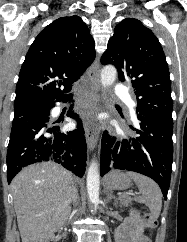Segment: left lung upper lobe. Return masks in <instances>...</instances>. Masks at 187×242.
Segmentation results:
<instances>
[{
    "label": "left lung upper lobe",
    "mask_w": 187,
    "mask_h": 242,
    "mask_svg": "<svg viewBox=\"0 0 187 242\" xmlns=\"http://www.w3.org/2000/svg\"><path fill=\"white\" fill-rule=\"evenodd\" d=\"M103 65L113 64L120 81L131 80L137 114L173 121L168 64L160 42L139 20L126 18L114 29Z\"/></svg>",
    "instance_id": "left-lung-upper-lobe-1"
}]
</instances>
